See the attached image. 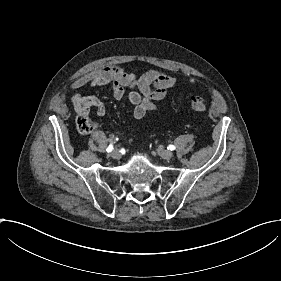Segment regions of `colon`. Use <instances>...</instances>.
I'll return each instance as SVG.
<instances>
[{
	"label": "colon",
	"mask_w": 281,
	"mask_h": 281,
	"mask_svg": "<svg viewBox=\"0 0 281 281\" xmlns=\"http://www.w3.org/2000/svg\"><path fill=\"white\" fill-rule=\"evenodd\" d=\"M191 109L193 112L198 114H204L209 109V104L205 99H194L191 102ZM77 128L82 133L90 132L92 124L87 118H80L77 121Z\"/></svg>",
	"instance_id": "obj_1"
}]
</instances>
